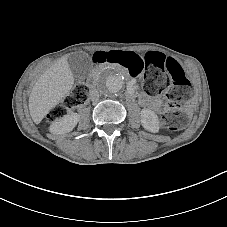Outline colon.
Masks as SVG:
<instances>
[{"label": "colon", "mask_w": 227, "mask_h": 227, "mask_svg": "<svg viewBox=\"0 0 227 227\" xmlns=\"http://www.w3.org/2000/svg\"><path fill=\"white\" fill-rule=\"evenodd\" d=\"M93 61L98 64L111 63L121 66L129 71L132 76L144 73V86L153 95L161 94L168 85L165 73L173 81V86L166 94L168 104L176 106L180 101L188 98L192 93L190 82L186 79L182 67L172 58L162 57L154 52L144 56L128 51L96 52ZM88 100V87L86 84H77L68 96L48 115V120L53 122L63 117L70 110L83 105ZM186 121V116L178 110L167 112L163 115L161 123L165 129L177 131Z\"/></svg>", "instance_id": "1"}]
</instances>
